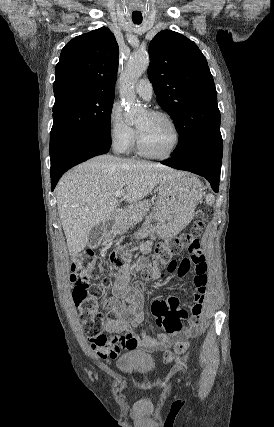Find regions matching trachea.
Wrapping results in <instances>:
<instances>
[{"mask_svg":"<svg viewBox=\"0 0 274 427\" xmlns=\"http://www.w3.org/2000/svg\"><path fill=\"white\" fill-rule=\"evenodd\" d=\"M133 23H135L136 25H139L140 23H142V20H133Z\"/></svg>","mask_w":274,"mask_h":427,"instance_id":"obj_1","label":"trachea"}]
</instances>
